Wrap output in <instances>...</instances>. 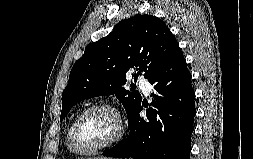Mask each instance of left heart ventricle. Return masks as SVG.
Here are the masks:
<instances>
[{
  "label": "left heart ventricle",
  "mask_w": 253,
  "mask_h": 159,
  "mask_svg": "<svg viewBox=\"0 0 253 159\" xmlns=\"http://www.w3.org/2000/svg\"><path fill=\"white\" fill-rule=\"evenodd\" d=\"M117 131L113 114L107 110L87 113L79 122L75 141L81 149H91L109 141Z\"/></svg>",
  "instance_id": "obj_1"
}]
</instances>
